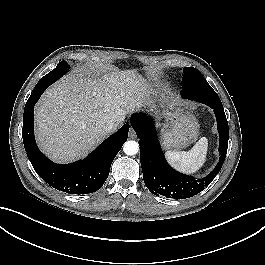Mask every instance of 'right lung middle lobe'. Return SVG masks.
Instances as JSON below:
<instances>
[{"mask_svg":"<svg viewBox=\"0 0 265 265\" xmlns=\"http://www.w3.org/2000/svg\"><path fill=\"white\" fill-rule=\"evenodd\" d=\"M68 68H69V65L67 64L65 60H63L57 65V67L54 70H52L47 75L42 77L39 81L51 85L56 80H58L60 77H62Z\"/></svg>","mask_w":265,"mask_h":265,"instance_id":"1","label":"right lung middle lobe"}]
</instances>
